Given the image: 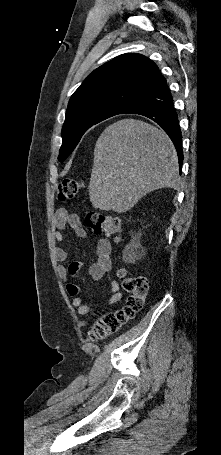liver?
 Masks as SVG:
<instances>
[{
	"mask_svg": "<svg viewBox=\"0 0 221 455\" xmlns=\"http://www.w3.org/2000/svg\"><path fill=\"white\" fill-rule=\"evenodd\" d=\"M179 184L177 152L163 130L122 119L99 136L88 186L94 208L124 213L147 193Z\"/></svg>",
	"mask_w": 221,
	"mask_h": 455,
	"instance_id": "6515ba94",
	"label": "liver"
}]
</instances>
